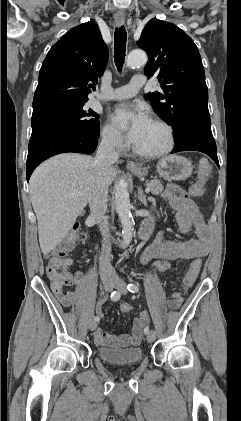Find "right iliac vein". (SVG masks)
Segmentation results:
<instances>
[{"mask_svg": "<svg viewBox=\"0 0 241 421\" xmlns=\"http://www.w3.org/2000/svg\"><path fill=\"white\" fill-rule=\"evenodd\" d=\"M102 287L105 291L109 292L113 289L114 287V282L111 279H104L102 281ZM89 330L93 331L96 329L97 327V322L95 320H91L88 324Z\"/></svg>", "mask_w": 241, "mask_h": 421, "instance_id": "obj_1", "label": "right iliac vein"}]
</instances>
